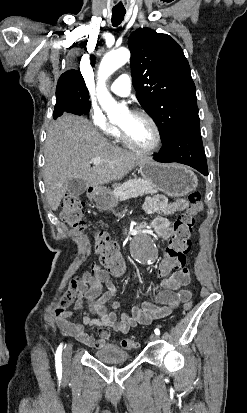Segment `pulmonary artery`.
Listing matches in <instances>:
<instances>
[{"label": "pulmonary artery", "mask_w": 247, "mask_h": 413, "mask_svg": "<svg viewBox=\"0 0 247 413\" xmlns=\"http://www.w3.org/2000/svg\"><path fill=\"white\" fill-rule=\"evenodd\" d=\"M107 86L113 93L119 96H127L132 89V78L129 74L124 73L109 82Z\"/></svg>", "instance_id": "e3ab8cb5"}]
</instances>
